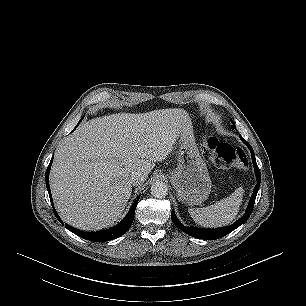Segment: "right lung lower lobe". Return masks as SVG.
<instances>
[{"mask_svg":"<svg viewBox=\"0 0 306 306\" xmlns=\"http://www.w3.org/2000/svg\"><path fill=\"white\" fill-rule=\"evenodd\" d=\"M79 124V123H78ZM53 162V156L52 159L50 161V164L46 170V186H47V190L49 193V197L51 200V204L53 207V211L55 216L57 217V219L61 222V224L63 225V222L61 221L60 217L58 216L54 205H53V201H52V196H51V191H50V187H49V172H50V167L51 164ZM138 199L134 201V204L132 205V207L130 208L128 214L125 216V218L116 226L110 228V229H106L103 231H98V232H83V231H79L75 228H72L71 226L66 225L65 227L70 230L71 232H73L74 234L78 235L79 237H82L84 239L90 240V241H95V242H104V241H109V240H113L115 238H118L120 236H122L124 233L127 232V230L129 229V227L131 226L133 219H134V214H135V209L138 203Z\"/></svg>","mask_w":306,"mask_h":306,"instance_id":"1","label":"right lung lower lobe"}]
</instances>
